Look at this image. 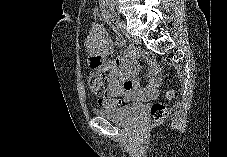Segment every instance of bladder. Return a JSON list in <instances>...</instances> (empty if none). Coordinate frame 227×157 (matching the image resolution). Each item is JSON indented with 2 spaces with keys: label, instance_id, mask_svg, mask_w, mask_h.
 <instances>
[{
  "label": "bladder",
  "instance_id": "obj_1",
  "mask_svg": "<svg viewBox=\"0 0 227 157\" xmlns=\"http://www.w3.org/2000/svg\"><path fill=\"white\" fill-rule=\"evenodd\" d=\"M93 112L96 116L114 123L129 125L140 118L143 113V106L132 103L117 107L96 108Z\"/></svg>",
  "mask_w": 227,
  "mask_h": 157
}]
</instances>
